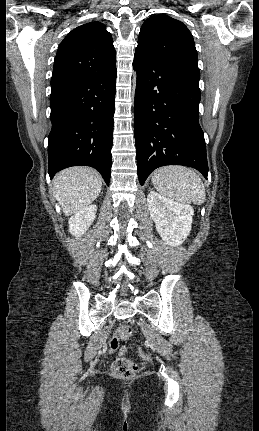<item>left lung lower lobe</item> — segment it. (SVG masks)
Listing matches in <instances>:
<instances>
[{"label": "left lung lower lobe", "instance_id": "left-lung-lower-lobe-1", "mask_svg": "<svg viewBox=\"0 0 259 431\" xmlns=\"http://www.w3.org/2000/svg\"><path fill=\"white\" fill-rule=\"evenodd\" d=\"M134 132L138 178L165 165H184L208 174L204 133L199 125V76L136 48Z\"/></svg>", "mask_w": 259, "mask_h": 431}]
</instances>
